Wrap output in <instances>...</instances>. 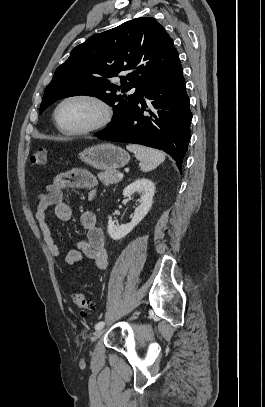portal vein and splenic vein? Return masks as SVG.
<instances>
[{
	"mask_svg": "<svg viewBox=\"0 0 265 407\" xmlns=\"http://www.w3.org/2000/svg\"><path fill=\"white\" fill-rule=\"evenodd\" d=\"M118 177L121 179V178H123V174L122 173H119L118 174Z\"/></svg>",
	"mask_w": 265,
	"mask_h": 407,
	"instance_id": "18ae733b",
	"label": "portal vein and splenic vein"
}]
</instances>
